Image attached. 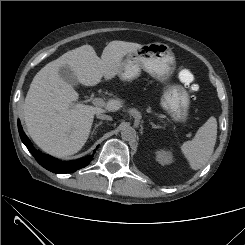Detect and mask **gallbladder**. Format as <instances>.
<instances>
[{"instance_id": "bac80fb5", "label": "gallbladder", "mask_w": 245, "mask_h": 245, "mask_svg": "<svg viewBox=\"0 0 245 245\" xmlns=\"http://www.w3.org/2000/svg\"><path fill=\"white\" fill-rule=\"evenodd\" d=\"M59 76L68 84L72 86H77L78 81L76 79V76L68 66H62L59 70Z\"/></svg>"}]
</instances>
